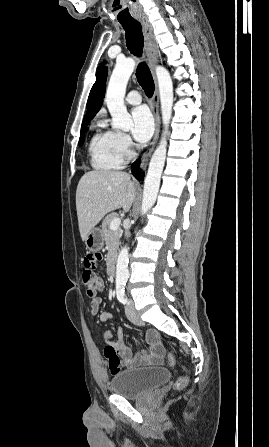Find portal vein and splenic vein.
<instances>
[{
	"label": "portal vein and splenic vein",
	"instance_id": "obj_1",
	"mask_svg": "<svg viewBox=\"0 0 269 447\" xmlns=\"http://www.w3.org/2000/svg\"><path fill=\"white\" fill-rule=\"evenodd\" d=\"M121 224L120 218H114L110 224V229H118L119 225Z\"/></svg>",
	"mask_w": 269,
	"mask_h": 447
}]
</instances>
